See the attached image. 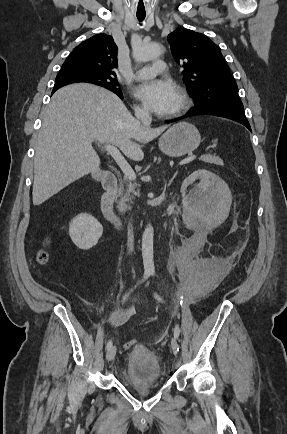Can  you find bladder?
Listing matches in <instances>:
<instances>
[{"label":"bladder","mask_w":287,"mask_h":434,"mask_svg":"<svg viewBox=\"0 0 287 434\" xmlns=\"http://www.w3.org/2000/svg\"><path fill=\"white\" fill-rule=\"evenodd\" d=\"M120 378L126 385L138 388L159 384L163 373L158 359L152 353L133 352L120 371Z\"/></svg>","instance_id":"1"}]
</instances>
